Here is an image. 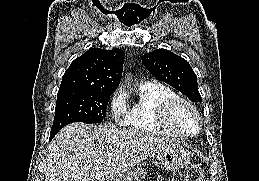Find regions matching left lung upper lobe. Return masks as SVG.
Instances as JSON below:
<instances>
[{
  "instance_id": "1",
  "label": "left lung upper lobe",
  "mask_w": 259,
  "mask_h": 181,
  "mask_svg": "<svg viewBox=\"0 0 259 181\" xmlns=\"http://www.w3.org/2000/svg\"><path fill=\"white\" fill-rule=\"evenodd\" d=\"M142 61L157 79L166 82L193 102H201L197 76L190 64L182 57L166 49L146 53Z\"/></svg>"
}]
</instances>
